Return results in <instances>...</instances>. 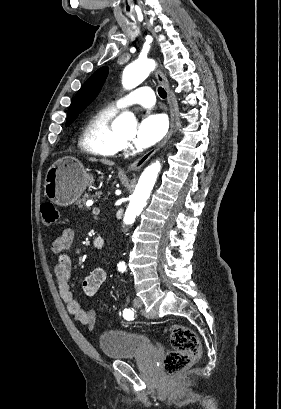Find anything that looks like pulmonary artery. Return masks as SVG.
<instances>
[{"label":"pulmonary artery","mask_w":281,"mask_h":409,"mask_svg":"<svg viewBox=\"0 0 281 409\" xmlns=\"http://www.w3.org/2000/svg\"><path fill=\"white\" fill-rule=\"evenodd\" d=\"M136 93L134 99L132 97H120L119 102L116 103L115 108L117 111H124L126 106L141 105L144 108H151L154 106L155 100L153 90H142L139 87L134 89ZM141 92V94H139Z\"/></svg>","instance_id":"1"}]
</instances>
